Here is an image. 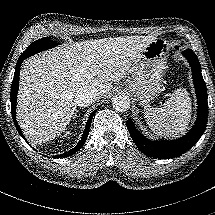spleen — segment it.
I'll list each match as a JSON object with an SVG mask.
<instances>
[{
	"mask_svg": "<svg viewBox=\"0 0 215 215\" xmlns=\"http://www.w3.org/2000/svg\"><path fill=\"white\" fill-rule=\"evenodd\" d=\"M190 114V98L183 89H176L163 106L149 105L144 109V116L151 129L168 137H177L186 131Z\"/></svg>",
	"mask_w": 215,
	"mask_h": 215,
	"instance_id": "obj_1",
	"label": "spleen"
}]
</instances>
